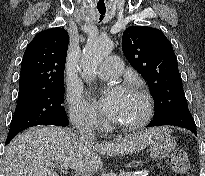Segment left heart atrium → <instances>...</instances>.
Masks as SVG:
<instances>
[{
  "label": "left heart atrium",
  "mask_w": 205,
  "mask_h": 176,
  "mask_svg": "<svg viewBox=\"0 0 205 176\" xmlns=\"http://www.w3.org/2000/svg\"><path fill=\"white\" fill-rule=\"evenodd\" d=\"M131 97L127 87H116L101 97L99 105L110 118L116 119Z\"/></svg>",
  "instance_id": "1"
}]
</instances>
